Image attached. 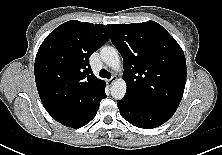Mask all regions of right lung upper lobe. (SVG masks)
I'll return each instance as SVG.
<instances>
[{"label": "right lung upper lobe", "mask_w": 222, "mask_h": 155, "mask_svg": "<svg viewBox=\"0 0 222 155\" xmlns=\"http://www.w3.org/2000/svg\"><path fill=\"white\" fill-rule=\"evenodd\" d=\"M108 25L71 20L58 26L41 44L35 59L40 99L56 120L93 105L105 90L89 57L109 40Z\"/></svg>", "instance_id": "cb5924a9"}]
</instances>
